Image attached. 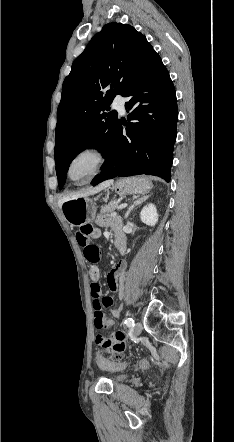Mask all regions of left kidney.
Masks as SVG:
<instances>
[{
	"label": "left kidney",
	"instance_id": "obj_1",
	"mask_svg": "<svg viewBox=\"0 0 234 442\" xmlns=\"http://www.w3.org/2000/svg\"><path fill=\"white\" fill-rule=\"evenodd\" d=\"M140 219L143 223L149 226H155V224L158 222V213L156 207L151 203L144 206L140 213Z\"/></svg>",
	"mask_w": 234,
	"mask_h": 442
}]
</instances>
